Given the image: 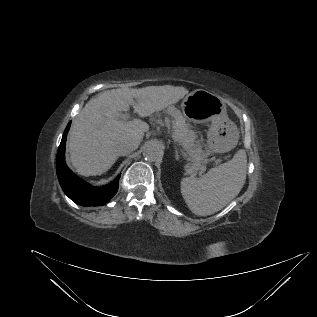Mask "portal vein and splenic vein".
<instances>
[{
    "label": "portal vein and splenic vein",
    "mask_w": 317,
    "mask_h": 317,
    "mask_svg": "<svg viewBox=\"0 0 317 317\" xmlns=\"http://www.w3.org/2000/svg\"><path fill=\"white\" fill-rule=\"evenodd\" d=\"M120 118L126 120V119L129 118V115H128V114H120ZM189 170H190L191 172H193L194 170H196V167H195V166H190V167H189Z\"/></svg>",
    "instance_id": "portal-vein-and-splenic-vein-1"
}]
</instances>
